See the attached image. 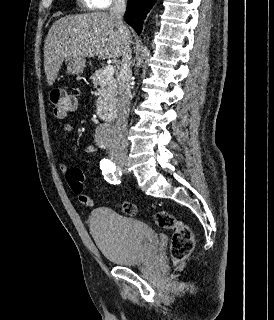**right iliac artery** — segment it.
Segmentation results:
<instances>
[{
    "label": "right iliac artery",
    "mask_w": 274,
    "mask_h": 320,
    "mask_svg": "<svg viewBox=\"0 0 274 320\" xmlns=\"http://www.w3.org/2000/svg\"><path fill=\"white\" fill-rule=\"evenodd\" d=\"M100 168L103 171V174H106L107 181L111 184H118L120 182L119 178L121 176V170L117 168L112 161L103 159L100 162Z\"/></svg>",
    "instance_id": "obj_1"
}]
</instances>
